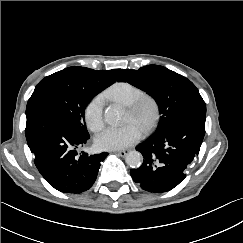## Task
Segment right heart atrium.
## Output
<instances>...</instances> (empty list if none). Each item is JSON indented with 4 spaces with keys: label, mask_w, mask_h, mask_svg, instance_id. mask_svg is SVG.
<instances>
[{
    "label": "right heart atrium",
    "mask_w": 243,
    "mask_h": 243,
    "mask_svg": "<svg viewBox=\"0 0 243 243\" xmlns=\"http://www.w3.org/2000/svg\"><path fill=\"white\" fill-rule=\"evenodd\" d=\"M85 121L88 128L93 132L100 131L104 126V97H93L85 107Z\"/></svg>",
    "instance_id": "right-heart-atrium-1"
}]
</instances>
